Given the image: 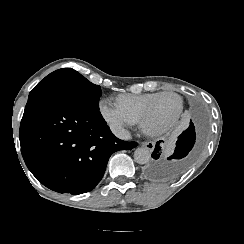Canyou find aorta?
Masks as SVG:
<instances>
[{
  "label": "aorta",
  "mask_w": 244,
  "mask_h": 244,
  "mask_svg": "<svg viewBox=\"0 0 244 244\" xmlns=\"http://www.w3.org/2000/svg\"><path fill=\"white\" fill-rule=\"evenodd\" d=\"M151 153L148 148L140 147L134 151V160L138 164H146L150 161Z\"/></svg>",
  "instance_id": "762f6f07"
}]
</instances>
